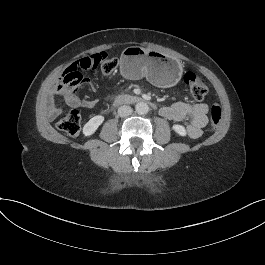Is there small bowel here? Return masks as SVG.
Here are the masks:
<instances>
[{"label": "small bowel", "mask_w": 265, "mask_h": 265, "mask_svg": "<svg viewBox=\"0 0 265 265\" xmlns=\"http://www.w3.org/2000/svg\"><path fill=\"white\" fill-rule=\"evenodd\" d=\"M83 82L91 85L92 89L96 91V88L89 80H84ZM76 92L77 87L67 89L59 84H56L53 89L54 95L64 98L71 108H91L96 104V101L92 99H79ZM60 113L61 110L55 106L49 109V117L52 119L56 118ZM207 113L208 105L205 103L191 105L179 102L160 109V114L172 121H182L186 118H190L186 130L191 138H198L202 135L203 128L207 124Z\"/></svg>", "instance_id": "1"}]
</instances>
